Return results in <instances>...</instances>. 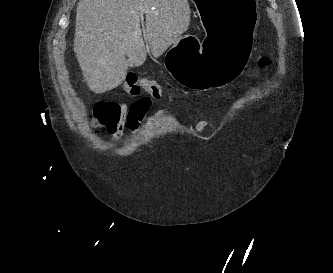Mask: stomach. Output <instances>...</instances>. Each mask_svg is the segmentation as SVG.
Listing matches in <instances>:
<instances>
[{
  "mask_svg": "<svg viewBox=\"0 0 333 273\" xmlns=\"http://www.w3.org/2000/svg\"><path fill=\"white\" fill-rule=\"evenodd\" d=\"M204 28L197 38L181 36L167 53L166 66L182 86L206 91L243 75L253 51V28L258 23L257 0H193Z\"/></svg>",
  "mask_w": 333,
  "mask_h": 273,
  "instance_id": "1",
  "label": "stomach"
}]
</instances>
